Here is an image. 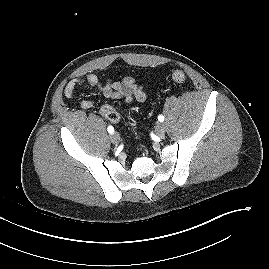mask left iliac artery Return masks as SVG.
<instances>
[{
  "mask_svg": "<svg viewBox=\"0 0 269 269\" xmlns=\"http://www.w3.org/2000/svg\"><path fill=\"white\" fill-rule=\"evenodd\" d=\"M158 120H159L160 122H163V121H164V116H163V115H159V116H158Z\"/></svg>",
  "mask_w": 269,
  "mask_h": 269,
  "instance_id": "1",
  "label": "left iliac artery"
}]
</instances>
